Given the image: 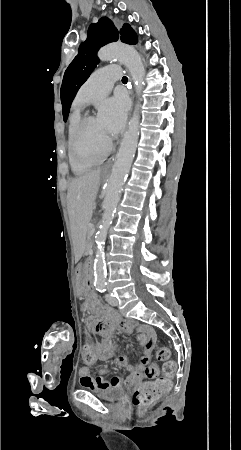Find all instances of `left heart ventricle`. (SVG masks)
<instances>
[{
  "label": "left heart ventricle",
  "mask_w": 241,
  "mask_h": 450,
  "mask_svg": "<svg viewBox=\"0 0 241 450\" xmlns=\"http://www.w3.org/2000/svg\"><path fill=\"white\" fill-rule=\"evenodd\" d=\"M82 127L84 129L79 146V151L83 155L81 162L87 169H94L96 163L93 157L98 159L106 157L111 148L112 135L107 124L101 120L85 121Z\"/></svg>",
  "instance_id": "b2bd125f"
}]
</instances>
